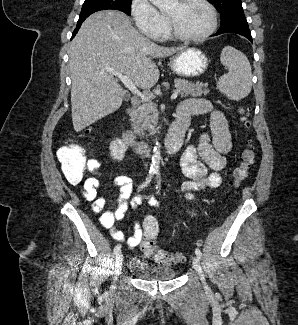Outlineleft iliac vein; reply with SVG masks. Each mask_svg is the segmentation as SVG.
Returning a JSON list of instances; mask_svg holds the SVG:
<instances>
[{
    "label": "left iliac vein",
    "instance_id": "left-iliac-vein-1",
    "mask_svg": "<svg viewBox=\"0 0 298 325\" xmlns=\"http://www.w3.org/2000/svg\"><path fill=\"white\" fill-rule=\"evenodd\" d=\"M192 265H193V268L195 269V271L198 273L204 288L208 289V285H207V283L205 281L203 270L201 268L200 260H199V258L197 256L192 257Z\"/></svg>",
    "mask_w": 298,
    "mask_h": 325
}]
</instances>
